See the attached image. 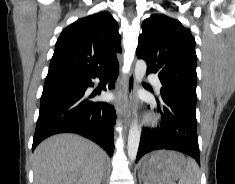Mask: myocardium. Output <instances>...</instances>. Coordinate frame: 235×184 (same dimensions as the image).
<instances>
[{
    "mask_svg": "<svg viewBox=\"0 0 235 184\" xmlns=\"http://www.w3.org/2000/svg\"><path fill=\"white\" fill-rule=\"evenodd\" d=\"M156 122V119L155 117L153 116H147L144 120V123L147 125V126H153Z\"/></svg>",
    "mask_w": 235,
    "mask_h": 184,
    "instance_id": "f54148a6",
    "label": "myocardium"
}]
</instances>
